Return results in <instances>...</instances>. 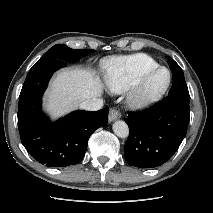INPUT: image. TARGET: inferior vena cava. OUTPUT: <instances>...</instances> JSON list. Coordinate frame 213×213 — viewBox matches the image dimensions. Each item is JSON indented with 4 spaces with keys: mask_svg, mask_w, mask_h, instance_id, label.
Wrapping results in <instances>:
<instances>
[{
    "mask_svg": "<svg viewBox=\"0 0 213 213\" xmlns=\"http://www.w3.org/2000/svg\"><path fill=\"white\" fill-rule=\"evenodd\" d=\"M103 106V100L100 98H93L86 100L80 104V108L88 111L100 110Z\"/></svg>",
    "mask_w": 213,
    "mask_h": 213,
    "instance_id": "inferior-vena-cava-1",
    "label": "inferior vena cava"
}]
</instances>
